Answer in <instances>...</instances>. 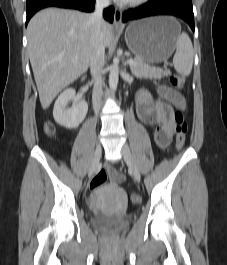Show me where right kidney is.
Segmentation results:
<instances>
[{"label":"right kidney","mask_w":227,"mask_h":265,"mask_svg":"<svg viewBox=\"0 0 227 265\" xmlns=\"http://www.w3.org/2000/svg\"><path fill=\"white\" fill-rule=\"evenodd\" d=\"M76 92L69 88L63 91L54 104L53 117L55 121L68 129L78 127L88 111V104L85 101H80L73 108H66L68 103L75 98Z\"/></svg>","instance_id":"obj_1"}]
</instances>
